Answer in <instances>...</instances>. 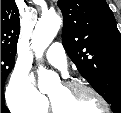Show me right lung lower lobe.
I'll return each instance as SVG.
<instances>
[{
	"label": "right lung lower lobe",
	"mask_w": 121,
	"mask_h": 113,
	"mask_svg": "<svg viewBox=\"0 0 121 113\" xmlns=\"http://www.w3.org/2000/svg\"><path fill=\"white\" fill-rule=\"evenodd\" d=\"M1 113H9V110L5 106L4 102L1 103Z\"/></svg>",
	"instance_id": "1"
}]
</instances>
